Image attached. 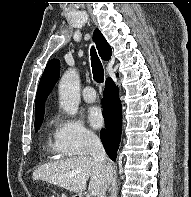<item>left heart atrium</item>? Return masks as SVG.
<instances>
[{
	"label": "left heart atrium",
	"mask_w": 191,
	"mask_h": 197,
	"mask_svg": "<svg viewBox=\"0 0 191 197\" xmlns=\"http://www.w3.org/2000/svg\"><path fill=\"white\" fill-rule=\"evenodd\" d=\"M88 121L93 128H100L104 123L102 111L98 107H92L88 111Z\"/></svg>",
	"instance_id": "obj_1"
}]
</instances>
